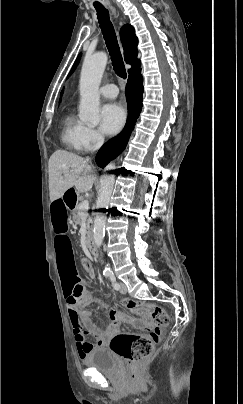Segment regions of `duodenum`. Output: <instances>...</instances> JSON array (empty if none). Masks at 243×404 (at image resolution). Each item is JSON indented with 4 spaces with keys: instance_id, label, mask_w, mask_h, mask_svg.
<instances>
[{
    "instance_id": "1",
    "label": "duodenum",
    "mask_w": 243,
    "mask_h": 404,
    "mask_svg": "<svg viewBox=\"0 0 243 404\" xmlns=\"http://www.w3.org/2000/svg\"><path fill=\"white\" fill-rule=\"evenodd\" d=\"M63 196H64V200H65V203H66L68 209L75 211L78 208V203H79V195H78V192L76 191V189L73 187L67 188L64 191ZM87 247H88V250L90 251V253L94 257L98 256V252H97L93 238H91V237L88 238Z\"/></svg>"
}]
</instances>
